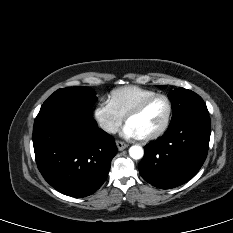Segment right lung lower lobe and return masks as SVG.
Instances as JSON below:
<instances>
[{
	"instance_id": "1",
	"label": "right lung lower lobe",
	"mask_w": 233,
	"mask_h": 233,
	"mask_svg": "<svg viewBox=\"0 0 233 233\" xmlns=\"http://www.w3.org/2000/svg\"><path fill=\"white\" fill-rule=\"evenodd\" d=\"M36 163L57 191L86 197L107 178L118 149L112 136L85 114L51 110L38 114L33 128Z\"/></svg>"
}]
</instances>
